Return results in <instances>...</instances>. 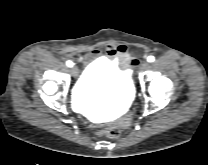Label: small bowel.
<instances>
[{"label": "small bowel", "mask_w": 208, "mask_h": 165, "mask_svg": "<svg viewBox=\"0 0 208 165\" xmlns=\"http://www.w3.org/2000/svg\"><path fill=\"white\" fill-rule=\"evenodd\" d=\"M106 57L111 60H117L122 64L133 65L135 60L130 56L126 45L109 46L105 53ZM100 52L98 50H92L86 55L87 60L98 58Z\"/></svg>", "instance_id": "small-bowel-1"}]
</instances>
